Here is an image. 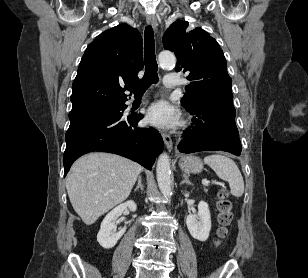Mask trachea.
Returning <instances> with one entry per match:
<instances>
[{
	"instance_id": "obj_1",
	"label": "trachea",
	"mask_w": 308,
	"mask_h": 278,
	"mask_svg": "<svg viewBox=\"0 0 308 278\" xmlns=\"http://www.w3.org/2000/svg\"><path fill=\"white\" fill-rule=\"evenodd\" d=\"M144 62L145 74L143 78L137 83L128 87V89L135 95L144 93L151 84H155L159 80L157 75L158 65L155 57L154 33L150 25L145 29Z\"/></svg>"
}]
</instances>
